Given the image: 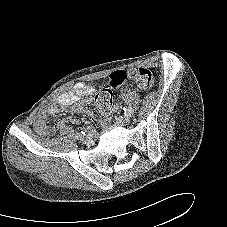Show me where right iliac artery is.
<instances>
[{
	"label": "right iliac artery",
	"mask_w": 227,
	"mask_h": 227,
	"mask_svg": "<svg viewBox=\"0 0 227 227\" xmlns=\"http://www.w3.org/2000/svg\"><path fill=\"white\" fill-rule=\"evenodd\" d=\"M84 134H85L84 132H81V133L76 134L75 137H76L77 139H79V138H81Z\"/></svg>",
	"instance_id": "82829eb1"
}]
</instances>
